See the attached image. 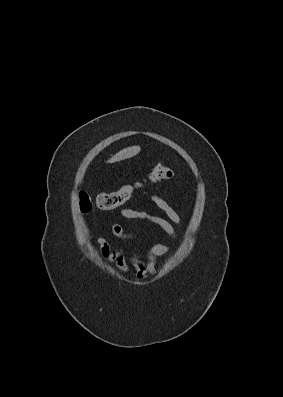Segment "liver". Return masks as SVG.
I'll return each mask as SVG.
<instances>
[{"mask_svg": "<svg viewBox=\"0 0 283 397\" xmlns=\"http://www.w3.org/2000/svg\"><path fill=\"white\" fill-rule=\"evenodd\" d=\"M140 150H141V148L139 146H132V147L125 148V149L119 151L113 157H111L108 160V162L114 163V162H118L121 160L131 158V157L137 155L140 152Z\"/></svg>", "mask_w": 283, "mask_h": 397, "instance_id": "1", "label": "liver"}]
</instances>
